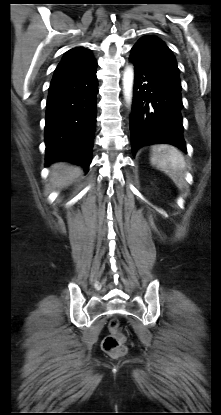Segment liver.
Here are the masks:
<instances>
[{"instance_id": "1", "label": "liver", "mask_w": 221, "mask_h": 415, "mask_svg": "<svg viewBox=\"0 0 221 415\" xmlns=\"http://www.w3.org/2000/svg\"><path fill=\"white\" fill-rule=\"evenodd\" d=\"M81 174V169L67 163H55L51 166L50 181L54 187L64 188Z\"/></svg>"}]
</instances>
